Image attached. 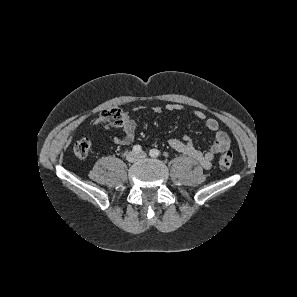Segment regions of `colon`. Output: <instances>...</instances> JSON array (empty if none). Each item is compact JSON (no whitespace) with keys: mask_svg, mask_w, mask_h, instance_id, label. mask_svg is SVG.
Listing matches in <instances>:
<instances>
[{"mask_svg":"<svg viewBox=\"0 0 297 297\" xmlns=\"http://www.w3.org/2000/svg\"><path fill=\"white\" fill-rule=\"evenodd\" d=\"M100 120L109 123L112 126H121L125 120L124 112L117 107L104 110L100 115ZM91 147V141L87 137H82L74 144L73 151L78 158H85ZM233 163V154L230 150L223 151L218 159L219 167L222 170H228Z\"/></svg>","mask_w":297,"mask_h":297,"instance_id":"obj_1","label":"colon"}]
</instances>
